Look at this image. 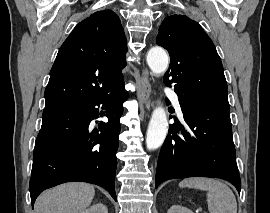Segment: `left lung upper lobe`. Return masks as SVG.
<instances>
[{"label": "left lung upper lobe", "instance_id": "obj_1", "mask_svg": "<svg viewBox=\"0 0 270 213\" xmlns=\"http://www.w3.org/2000/svg\"><path fill=\"white\" fill-rule=\"evenodd\" d=\"M170 55L167 86L189 100L229 109L228 88L219 55L210 37L195 21L184 15L164 19L156 38Z\"/></svg>", "mask_w": 270, "mask_h": 213}]
</instances>
